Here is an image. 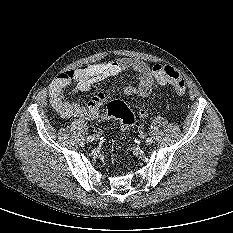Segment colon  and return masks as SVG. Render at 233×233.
<instances>
[{
	"instance_id": "colon-1",
	"label": "colon",
	"mask_w": 233,
	"mask_h": 233,
	"mask_svg": "<svg viewBox=\"0 0 233 233\" xmlns=\"http://www.w3.org/2000/svg\"><path fill=\"white\" fill-rule=\"evenodd\" d=\"M154 76L159 84L170 83L173 85L176 93L184 94L186 91V84L183 77L178 71L169 65H155L153 67ZM99 112V111H98ZM107 116L117 118L124 130H128L135 122V116L130 108L120 100L111 101L106 109ZM145 115L146 112H142Z\"/></svg>"
}]
</instances>
